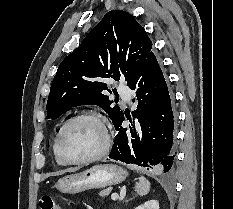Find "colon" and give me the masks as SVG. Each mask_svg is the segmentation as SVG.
I'll return each instance as SVG.
<instances>
[{
  "instance_id": "1",
  "label": "colon",
  "mask_w": 233,
  "mask_h": 209,
  "mask_svg": "<svg viewBox=\"0 0 233 209\" xmlns=\"http://www.w3.org/2000/svg\"><path fill=\"white\" fill-rule=\"evenodd\" d=\"M39 208L40 209H59L50 195H42L39 198Z\"/></svg>"
}]
</instances>
